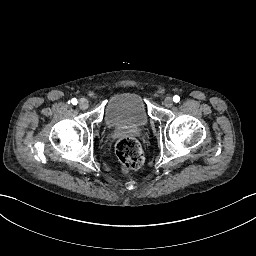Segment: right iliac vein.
<instances>
[{
  "label": "right iliac vein",
  "mask_w": 256,
  "mask_h": 256,
  "mask_svg": "<svg viewBox=\"0 0 256 256\" xmlns=\"http://www.w3.org/2000/svg\"><path fill=\"white\" fill-rule=\"evenodd\" d=\"M88 107H89V101L87 99H85V98H82L79 101V108L81 110H86Z\"/></svg>",
  "instance_id": "right-iliac-vein-1"
}]
</instances>
